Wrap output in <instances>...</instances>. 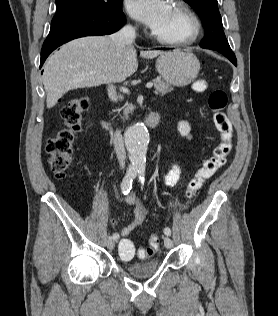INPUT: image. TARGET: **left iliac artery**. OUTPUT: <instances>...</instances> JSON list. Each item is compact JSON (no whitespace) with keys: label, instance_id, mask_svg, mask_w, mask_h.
<instances>
[{"label":"left iliac artery","instance_id":"1","mask_svg":"<svg viewBox=\"0 0 278 316\" xmlns=\"http://www.w3.org/2000/svg\"><path fill=\"white\" fill-rule=\"evenodd\" d=\"M138 174H139V182L141 184H144L145 177H144V168L143 167L139 169ZM164 233L167 236L171 235V229L169 227L164 228Z\"/></svg>","mask_w":278,"mask_h":316}]
</instances>
